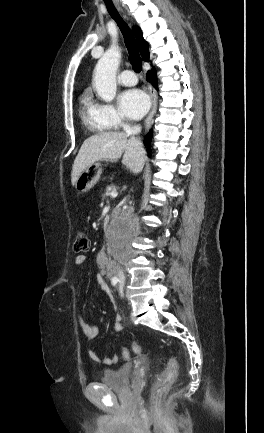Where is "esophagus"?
<instances>
[{
    "instance_id": "34e87169",
    "label": "esophagus",
    "mask_w": 264,
    "mask_h": 433,
    "mask_svg": "<svg viewBox=\"0 0 264 433\" xmlns=\"http://www.w3.org/2000/svg\"><path fill=\"white\" fill-rule=\"evenodd\" d=\"M148 91H149V96L151 99L152 107H151V111H150L147 119L145 120V128L147 130L150 129V127L153 123V117H154V114H155L156 109H157V95H156L155 89L153 88L152 85L148 86Z\"/></svg>"
}]
</instances>
